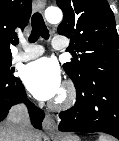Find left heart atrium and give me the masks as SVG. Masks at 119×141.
I'll return each mask as SVG.
<instances>
[{
	"mask_svg": "<svg viewBox=\"0 0 119 141\" xmlns=\"http://www.w3.org/2000/svg\"><path fill=\"white\" fill-rule=\"evenodd\" d=\"M22 79L28 90L40 100L53 99L61 91L60 69L49 58L28 64L23 70Z\"/></svg>",
	"mask_w": 119,
	"mask_h": 141,
	"instance_id": "obj_1",
	"label": "left heart atrium"
}]
</instances>
